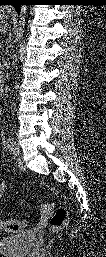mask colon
<instances>
[{"label":"colon","instance_id":"1","mask_svg":"<svg viewBox=\"0 0 106 257\" xmlns=\"http://www.w3.org/2000/svg\"><path fill=\"white\" fill-rule=\"evenodd\" d=\"M50 224L54 232L62 231L67 224L66 208H56L50 216ZM0 227L5 232L17 233L26 227V222L24 220H1Z\"/></svg>","mask_w":106,"mask_h":257}]
</instances>
